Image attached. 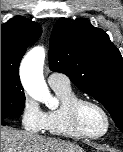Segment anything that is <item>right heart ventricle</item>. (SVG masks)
Listing matches in <instances>:
<instances>
[{"label": "right heart ventricle", "mask_w": 123, "mask_h": 152, "mask_svg": "<svg viewBox=\"0 0 123 152\" xmlns=\"http://www.w3.org/2000/svg\"><path fill=\"white\" fill-rule=\"evenodd\" d=\"M53 89L60 100V105L58 108L45 113V132L56 137L81 138L82 136L74 130L69 118V106L78 96L71 87Z\"/></svg>", "instance_id": "e07e8e85"}]
</instances>
